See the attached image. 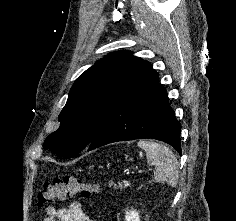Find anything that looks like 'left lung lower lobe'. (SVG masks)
Masks as SVG:
<instances>
[{"label": "left lung lower lobe", "instance_id": "obj_1", "mask_svg": "<svg viewBox=\"0 0 236 221\" xmlns=\"http://www.w3.org/2000/svg\"><path fill=\"white\" fill-rule=\"evenodd\" d=\"M153 72L106 118L88 150L126 140L152 138L168 143L181 155V124L176 120L164 87Z\"/></svg>", "mask_w": 236, "mask_h": 221}]
</instances>
